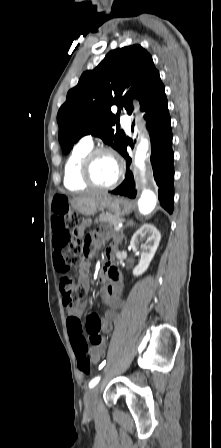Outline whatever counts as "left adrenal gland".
I'll return each mask as SVG.
<instances>
[{"label":"left adrenal gland","instance_id":"1","mask_svg":"<svg viewBox=\"0 0 221 448\" xmlns=\"http://www.w3.org/2000/svg\"><path fill=\"white\" fill-rule=\"evenodd\" d=\"M132 224H133L132 221H128V222L126 223L125 227L130 226V225H132ZM120 235H121V239H120V240H122V239H123V230H121Z\"/></svg>","mask_w":221,"mask_h":448}]
</instances>
